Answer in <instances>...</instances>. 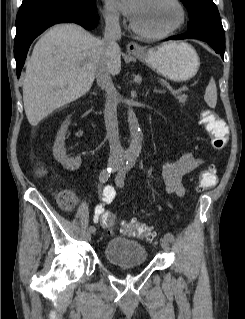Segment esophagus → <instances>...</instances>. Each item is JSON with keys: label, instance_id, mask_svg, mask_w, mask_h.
<instances>
[{"label": "esophagus", "instance_id": "obj_1", "mask_svg": "<svg viewBox=\"0 0 245 319\" xmlns=\"http://www.w3.org/2000/svg\"><path fill=\"white\" fill-rule=\"evenodd\" d=\"M127 52L130 54H137L143 52V49L136 42H129L127 45Z\"/></svg>", "mask_w": 245, "mask_h": 319}]
</instances>
